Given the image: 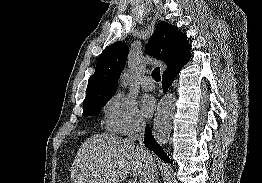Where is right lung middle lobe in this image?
I'll return each instance as SVG.
<instances>
[{
	"instance_id": "dd1d6c3e",
	"label": "right lung middle lobe",
	"mask_w": 262,
	"mask_h": 183,
	"mask_svg": "<svg viewBox=\"0 0 262 183\" xmlns=\"http://www.w3.org/2000/svg\"><path fill=\"white\" fill-rule=\"evenodd\" d=\"M111 97L97 99L93 101L83 102L84 116H97L101 108L109 101Z\"/></svg>"
}]
</instances>
